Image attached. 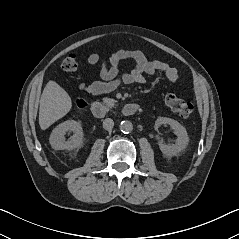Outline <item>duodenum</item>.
<instances>
[{
	"label": "duodenum",
	"mask_w": 239,
	"mask_h": 239,
	"mask_svg": "<svg viewBox=\"0 0 239 239\" xmlns=\"http://www.w3.org/2000/svg\"><path fill=\"white\" fill-rule=\"evenodd\" d=\"M139 108H140V106L137 103L125 104L122 108V114L125 116H132L136 112H138ZM90 110H91L92 115L99 119L104 118L107 113L106 106L99 102H93L90 105Z\"/></svg>",
	"instance_id": "obj_1"
}]
</instances>
